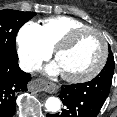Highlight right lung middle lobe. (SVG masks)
<instances>
[{
	"label": "right lung middle lobe",
	"instance_id": "1",
	"mask_svg": "<svg viewBox=\"0 0 117 117\" xmlns=\"http://www.w3.org/2000/svg\"><path fill=\"white\" fill-rule=\"evenodd\" d=\"M35 12L5 9L0 11V57L9 61L18 60L16 35L20 27L35 16Z\"/></svg>",
	"mask_w": 117,
	"mask_h": 117
}]
</instances>
